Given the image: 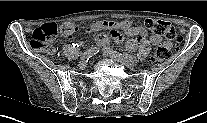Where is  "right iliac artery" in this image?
<instances>
[{"mask_svg":"<svg viewBox=\"0 0 207 123\" xmlns=\"http://www.w3.org/2000/svg\"><path fill=\"white\" fill-rule=\"evenodd\" d=\"M99 48L97 47H93L89 50H87L86 52H84L82 55H81V59L83 60H88L89 58H91L93 55L97 54L99 52Z\"/></svg>","mask_w":207,"mask_h":123,"instance_id":"82829eb1","label":"right iliac artery"}]
</instances>
